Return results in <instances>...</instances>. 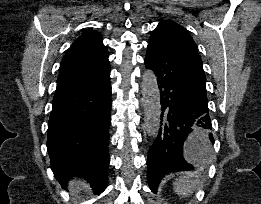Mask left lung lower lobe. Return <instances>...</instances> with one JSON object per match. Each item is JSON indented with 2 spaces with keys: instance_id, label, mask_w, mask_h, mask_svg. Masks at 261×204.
I'll use <instances>...</instances> for the list:
<instances>
[{
  "instance_id": "1",
  "label": "left lung lower lobe",
  "mask_w": 261,
  "mask_h": 204,
  "mask_svg": "<svg viewBox=\"0 0 261 204\" xmlns=\"http://www.w3.org/2000/svg\"><path fill=\"white\" fill-rule=\"evenodd\" d=\"M145 66L157 77L162 106L161 127L148 151V184L156 193L165 174L193 168L187 159L203 150L192 144L214 139L201 59L175 38L150 36Z\"/></svg>"
}]
</instances>
